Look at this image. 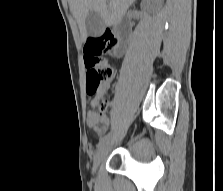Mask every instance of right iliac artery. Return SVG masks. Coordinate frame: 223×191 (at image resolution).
Returning <instances> with one entry per match:
<instances>
[{"mask_svg": "<svg viewBox=\"0 0 223 191\" xmlns=\"http://www.w3.org/2000/svg\"><path fill=\"white\" fill-rule=\"evenodd\" d=\"M109 136H110V133L107 134V135H105V136H103V137L100 139V141H99L98 147H99L102 143H104L105 141H107L108 138H109Z\"/></svg>", "mask_w": 223, "mask_h": 191, "instance_id": "82829eb1", "label": "right iliac artery"}]
</instances>
